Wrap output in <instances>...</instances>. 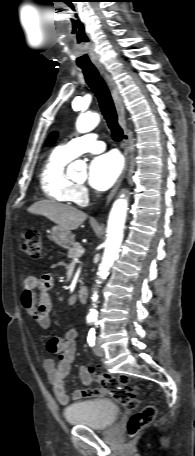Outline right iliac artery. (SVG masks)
<instances>
[{
  "instance_id": "right-iliac-artery-1",
  "label": "right iliac artery",
  "mask_w": 195,
  "mask_h": 456,
  "mask_svg": "<svg viewBox=\"0 0 195 456\" xmlns=\"http://www.w3.org/2000/svg\"><path fill=\"white\" fill-rule=\"evenodd\" d=\"M92 321H93L92 319H88V320H87L88 323H91Z\"/></svg>"
}]
</instances>
